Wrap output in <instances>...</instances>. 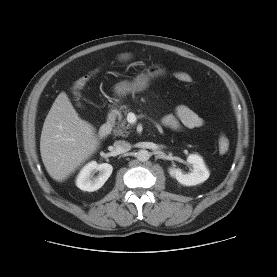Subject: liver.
Wrapping results in <instances>:
<instances>
[{
  "mask_svg": "<svg viewBox=\"0 0 277 277\" xmlns=\"http://www.w3.org/2000/svg\"><path fill=\"white\" fill-rule=\"evenodd\" d=\"M98 146L93 126L78 116L66 93L61 92L46 116L40 138L48 174L56 181L66 179Z\"/></svg>",
  "mask_w": 277,
  "mask_h": 277,
  "instance_id": "obj_1",
  "label": "liver"
}]
</instances>
